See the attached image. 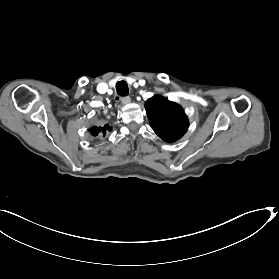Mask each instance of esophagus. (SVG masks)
Returning a JSON list of instances; mask_svg holds the SVG:
<instances>
[{
	"label": "esophagus",
	"mask_w": 279,
	"mask_h": 279,
	"mask_svg": "<svg viewBox=\"0 0 279 279\" xmlns=\"http://www.w3.org/2000/svg\"><path fill=\"white\" fill-rule=\"evenodd\" d=\"M121 101H122L123 104H127V103H129L131 100H130V97H129V96H124V97H122Z\"/></svg>",
	"instance_id": "esophagus-1"
}]
</instances>
